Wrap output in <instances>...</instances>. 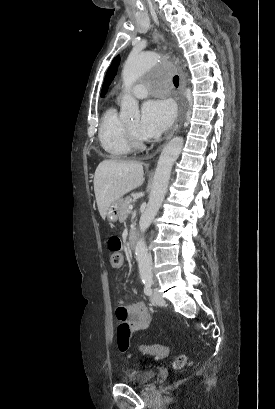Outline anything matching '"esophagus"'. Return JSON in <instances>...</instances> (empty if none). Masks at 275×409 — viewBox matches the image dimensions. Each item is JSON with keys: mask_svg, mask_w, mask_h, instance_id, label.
<instances>
[{"mask_svg": "<svg viewBox=\"0 0 275 409\" xmlns=\"http://www.w3.org/2000/svg\"><path fill=\"white\" fill-rule=\"evenodd\" d=\"M185 89H186V79L183 75V73L180 71L179 72V95L181 98V102H180V114L181 116H183V105L185 102ZM178 129V124H175L170 132V134L168 135V137L166 138V141L170 140L171 137H173L174 133L176 132V130Z\"/></svg>", "mask_w": 275, "mask_h": 409, "instance_id": "1", "label": "esophagus"}]
</instances>
